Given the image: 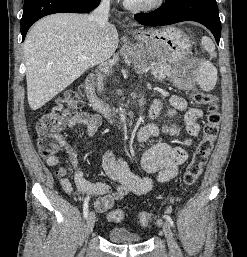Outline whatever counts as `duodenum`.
I'll use <instances>...</instances> for the list:
<instances>
[{
    "mask_svg": "<svg viewBox=\"0 0 247 257\" xmlns=\"http://www.w3.org/2000/svg\"><path fill=\"white\" fill-rule=\"evenodd\" d=\"M96 86V76L94 74H90L87 76L85 83H84V88H85V93L86 96L93 107L94 110L97 112L110 117L112 115V110L111 108L106 105L96 94L95 90ZM139 101L136 100V104Z\"/></svg>",
    "mask_w": 247,
    "mask_h": 257,
    "instance_id": "410a0bca",
    "label": "duodenum"
}]
</instances>
